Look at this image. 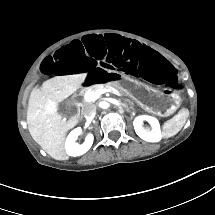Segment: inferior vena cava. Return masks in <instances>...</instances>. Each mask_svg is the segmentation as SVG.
Segmentation results:
<instances>
[{
    "label": "inferior vena cava",
    "instance_id": "obj_1",
    "mask_svg": "<svg viewBox=\"0 0 215 215\" xmlns=\"http://www.w3.org/2000/svg\"><path fill=\"white\" fill-rule=\"evenodd\" d=\"M82 114L87 120H92L96 115V105L87 104L82 108Z\"/></svg>",
    "mask_w": 215,
    "mask_h": 215
}]
</instances>
